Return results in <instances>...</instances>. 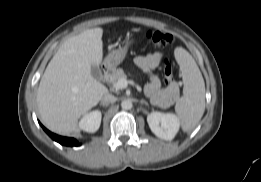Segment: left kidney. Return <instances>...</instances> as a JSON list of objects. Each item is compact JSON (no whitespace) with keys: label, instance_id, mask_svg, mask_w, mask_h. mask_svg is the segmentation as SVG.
Instances as JSON below:
<instances>
[{"label":"left kidney","instance_id":"5707ae66","mask_svg":"<svg viewBox=\"0 0 261 182\" xmlns=\"http://www.w3.org/2000/svg\"><path fill=\"white\" fill-rule=\"evenodd\" d=\"M147 122L151 131L164 140H172L180 127L179 118L172 113L151 112Z\"/></svg>","mask_w":261,"mask_h":182}]
</instances>
